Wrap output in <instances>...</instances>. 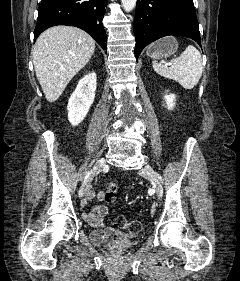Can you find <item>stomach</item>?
Listing matches in <instances>:
<instances>
[{"instance_id": "0dacf381", "label": "stomach", "mask_w": 240, "mask_h": 281, "mask_svg": "<svg viewBox=\"0 0 240 281\" xmlns=\"http://www.w3.org/2000/svg\"><path fill=\"white\" fill-rule=\"evenodd\" d=\"M177 48V40L174 37H167L149 46L146 54L150 57H153L154 53H156L157 57H168L173 55Z\"/></svg>"}]
</instances>
